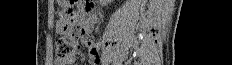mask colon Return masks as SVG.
I'll return each instance as SVG.
<instances>
[{
  "label": "colon",
  "instance_id": "obj_1",
  "mask_svg": "<svg viewBox=\"0 0 232 65\" xmlns=\"http://www.w3.org/2000/svg\"><path fill=\"white\" fill-rule=\"evenodd\" d=\"M72 12V11H67ZM76 48V43L71 37H59L56 41V55L59 59L72 54Z\"/></svg>",
  "mask_w": 232,
  "mask_h": 65
}]
</instances>
